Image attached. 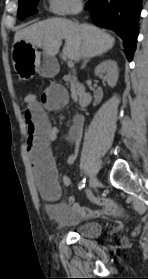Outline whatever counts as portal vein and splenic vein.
<instances>
[{"label": "portal vein and splenic vein", "mask_w": 148, "mask_h": 279, "mask_svg": "<svg viewBox=\"0 0 148 279\" xmlns=\"http://www.w3.org/2000/svg\"><path fill=\"white\" fill-rule=\"evenodd\" d=\"M68 67H70V68H73L74 67V63H73V61L70 59V60H68Z\"/></svg>", "instance_id": "obj_1"}]
</instances>
